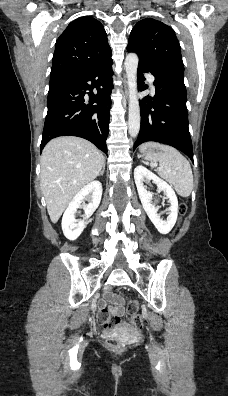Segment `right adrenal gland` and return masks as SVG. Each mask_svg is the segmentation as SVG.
Masks as SVG:
<instances>
[{"instance_id":"obj_1","label":"right adrenal gland","mask_w":228,"mask_h":396,"mask_svg":"<svg viewBox=\"0 0 228 396\" xmlns=\"http://www.w3.org/2000/svg\"><path fill=\"white\" fill-rule=\"evenodd\" d=\"M104 171H105V164L103 165L102 170L100 171L99 175L102 176L104 174Z\"/></svg>"}]
</instances>
